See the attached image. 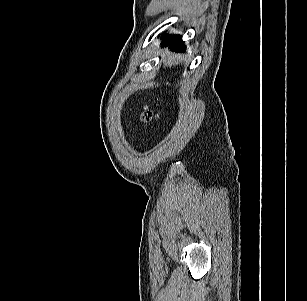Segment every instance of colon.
I'll list each match as a JSON object with an SVG mask.
<instances>
[{"label": "colon", "mask_w": 307, "mask_h": 301, "mask_svg": "<svg viewBox=\"0 0 307 301\" xmlns=\"http://www.w3.org/2000/svg\"><path fill=\"white\" fill-rule=\"evenodd\" d=\"M156 119V115L150 111V110H146L143 112L141 120L144 123H151Z\"/></svg>", "instance_id": "obj_1"}]
</instances>
